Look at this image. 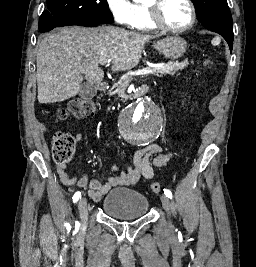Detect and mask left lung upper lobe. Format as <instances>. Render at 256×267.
Here are the masks:
<instances>
[{"label": "left lung upper lobe", "mask_w": 256, "mask_h": 267, "mask_svg": "<svg viewBox=\"0 0 256 267\" xmlns=\"http://www.w3.org/2000/svg\"><path fill=\"white\" fill-rule=\"evenodd\" d=\"M198 18L207 29L219 33L233 47V23L227 0H192Z\"/></svg>", "instance_id": "5c2ea615"}]
</instances>
